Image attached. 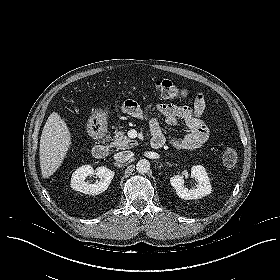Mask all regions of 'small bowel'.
<instances>
[{
	"instance_id": "small-bowel-1",
	"label": "small bowel",
	"mask_w": 280,
	"mask_h": 280,
	"mask_svg": "<svg viewBox=\"0 0 280 280\" xmlns=\"http://www.w3.org/2000/svg\"><path fill=\"white\" fill-rule=\"evenodd\" d=\"M130 105L123 107V111L128 115L143 119L146 117V111L143 110L137 103L128 101ZM206 102L203 92H197L192 105H174V104H159L156 110L161 114L165 122L170 126H176L183 121L188 131L182 137L173 136L169 142L180 149L194 150L200 148L209 139V129L202 119V114L205 110ZM150 128L153 137H161L166 141V137L162 131L159 120L152 118Z\"/></svg>"
}]
</instances>
